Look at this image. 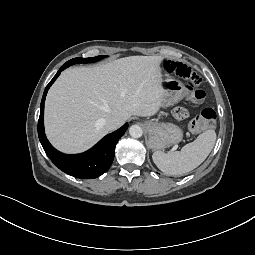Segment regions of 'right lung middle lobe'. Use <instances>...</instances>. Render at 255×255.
<instances>
[{
	"mask_svg": "<svg viewBox=\"0 0 255 255\" xmlns=\"http://www.w3.org/2000/svg\"><path fill=\"white\" fill-rule=\"evenodd\" d=\"M104 56L100 55V56H97V57H90V58H74V59H71L68 61V63L70 65H73V64H76V63H92V62H96L100 59H102Z\"/></svg>",
	"mask_w": 255,
	"mask_h": 255,
	"instance_id": "obj_1",
	"label": "right lung middle lobe"
}]
</instances>
